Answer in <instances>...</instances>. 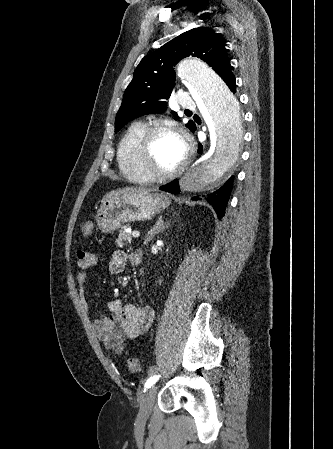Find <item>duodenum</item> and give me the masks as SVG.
Masks as SVG:
<instances>
[{"instance_id":"duodenum-1","label":"duodenum","mask_w":333,"mask_h":449,"mask_svg":"<svg viewBox=\"0 0 333 449\" xmlns=\"http://www.w3.org/2000/svg\"><path fill=\"white\" fill-rule=\"evenodd\" d=\"M139 262H140V258H139V256H137L136 263H139Z\"/></svg>"}]
</instances>
